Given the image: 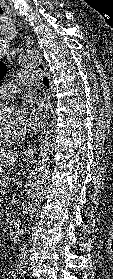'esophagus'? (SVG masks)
<instances>
[{
	"label": "esophagus",
	"mask_w": 113,
	"mask_h": 279,
	"mask_svg": "<svg viewBox=\"0 0 113 279\" xmlns=\"http://www.w3.org/2000/svg\"><path fill=\"white\" fill-rule=\"evenodd\" d=\"M37 68H38L39 72H41L42 74H44V75L47 76L48 81H49V85H50V90L52 91V80H51V76H50V74H49V72H48V70H47L46 65H45L43 62H40V63L38 64ZM52 112H53V110H51V113H52ZM49 118H50V117H49ZM49 118H48V119H49ZM48 124H49V122H47L46 125H48ZM36 149H37L36 144H32V145H30V146L27 148V150H25L24 154H25L26 156H33V154L36 152Z\"/></svg>",
	"instance_id": "34e87169"
}]
</instances>
